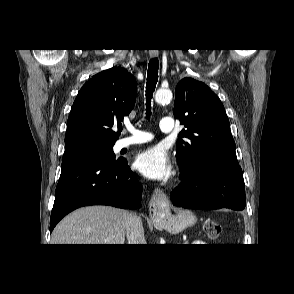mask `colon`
<instances>
[{"mask_svg":"<svg viewBox=\"0 0 294 294\" xmlns=\"http://www.w3.org/2000/svg\"><path fill=\"white\" fill-rule=\"evenodd\" d=\"M204 230L210 241H216L222 231V225L218 222L209 221L205 224Z\"/></svg>","mask_w":294,"mask_h":294,"instance_id":"1","label":"colon"}]
</instances>
